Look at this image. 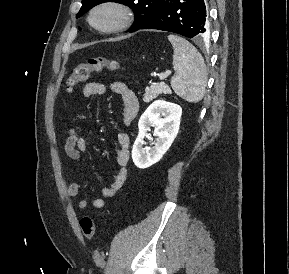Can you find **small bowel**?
Masks as SVG:
<instances>
[{
	"instance_id": "1",
	"label": "small bowel",
	"mask_w": 289,
	"mask_h": 274,
	"mask_svg": "<svg viewBox=\"0 0 289 274\" xmlns=\"http://www.w3.org/2000/svg\"><path fill=\"white\" fill-rule=\"evenodd\" d=\"M111 91L121 97L123 103V121L125 125H130L136 118L139 111V101L136 94L123 82L114 81L109 85L99 82H90L83 88L82 94L85 98L93 95H104ZM118 151L116 161L119 166L114 180L100 191V197H84L77 202L79 210H85L89 205L96 209L106 206L105 198L114 197L123 187L128 176L129 145L130 138L127 133L121 132L117 137ZM66 155L77 163H83V154L88 151V143L83 138L76 127H70L64 144ZM86 186L79 183H71L68 187V196L72 199L77 197L85 190Z\"/></svg>"
}]
</instances>
